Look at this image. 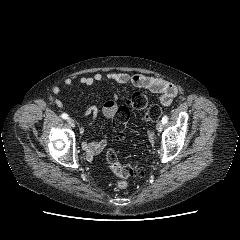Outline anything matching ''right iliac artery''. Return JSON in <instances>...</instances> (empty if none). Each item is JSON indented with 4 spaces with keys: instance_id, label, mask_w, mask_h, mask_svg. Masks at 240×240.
<instances>
[{
    "instance_id": "right-iliac-artery-1",
    "label": "right iliac artery",
    "mask_w": 240,
    "mask_h": 240,
    "mask_svg": "<svg viewBox=\"0 0 240 240\" xmlns=\"http://www.w3.org/2000/svg\"><path fill=\"white\" fill-rule=\"evenodd\" d=\"M61 117L63 118V119H68V115L66 114V113H63L62 115H61Z\"/></svg>"
}]
</instances>
